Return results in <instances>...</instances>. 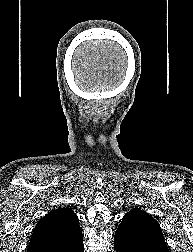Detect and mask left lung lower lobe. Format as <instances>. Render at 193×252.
I'll list each match as a JSON object with an SVG mask.
<instances>
[{"instance_id": "1", "label": "left lung lower lobe", "mask_w": 193, "mask_h": 252, "mask_svg": "<svg viewBox=\"0 0 193 252\" xmlns=\"http://www.w3.org/2000/svg\"><path fill=\"white\" fill-rule=\"evenodd\" d=\"M117 252H169L164 237L158 233H137L117 229L114 237Z\"/></svg>"}]
</instances>
